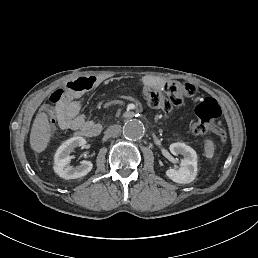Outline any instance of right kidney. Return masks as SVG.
<instances>
[{"label": "right kidney", "mask_w": 258, "mask_h": 258, "mask_svg": "<svg viewBox=\"0 0 258 258\" xmlns=\"http://www.w3.org/2000/svg\"><path fill=\"white\" fill-rule=\"evenodd\" d=\"M87 140L81 136H74L66 140L58 148L54 156V170L62 178L75 179L86 175L92 168L90 161H82L79 166L70 165V153L75 147L85 148Z\"/></svg>", "instance_id": "obj_1"}]
</instances>
